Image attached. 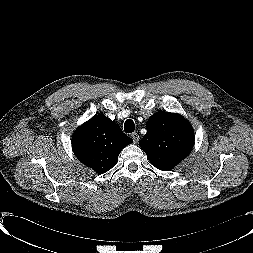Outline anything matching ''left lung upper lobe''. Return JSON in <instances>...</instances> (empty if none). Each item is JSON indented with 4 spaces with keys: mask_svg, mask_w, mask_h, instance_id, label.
<instances>
[{
    "mask_svg": "<svg viewBox=\"0 0 253 253\" xmlns=\"http://www.w3.org/2000/svg\"><path fill=\"white\" fill-rule=\"evenodd\" d=\"M146 128L139 145L154 167L171 170L191 152L193 129L181 115L158 111L149 118Z\"/></svg>",
    "mask_w": 253,
    "mask_h": 253,
    "instance_id": "5c2ea615",
    "label": "left lung upper lobe"
}]
</instances>
